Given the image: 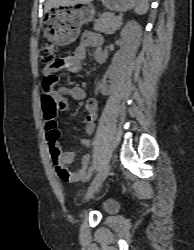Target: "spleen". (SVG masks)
Instances as JSON below:
<instances>
[{"instance_id":"1","label":"spleen","mask_w":194,"mask_h":250,"mask_svg":"<svg viewBox=\"0 0 194 250\" xmlns=\"http://www.w3.org/2000/svg\"><path fill=\"white\" fill-rule=\"evenodd\" d=\"M149 8L148 0H141L139 5L135 8V13L138 15H143L147 13Z\"/></svg>"}]
</instances>
